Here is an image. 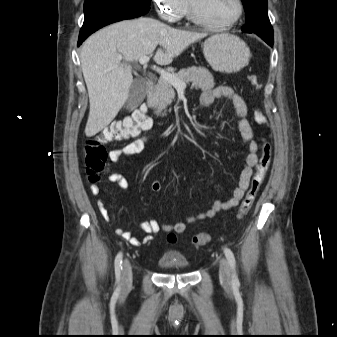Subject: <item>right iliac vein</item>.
<instances>
[{
    "instance_id": "1",
    "label": "right iliac vein",
    "mask_w": 337,
    "mask_h": 337,
    "mask_svg": "<svg viewBox=\"0 0 337 337\" xmlns=\"http://www.w3.org/2000/svg\"><path fill=\"white\" fill-rule=\"evenodd\" d=\"M122 291L121 294L124 296L129 291L132 285V268L129 260H125L123 263L122 271Z\"/></svg>"
}]
</instances>
